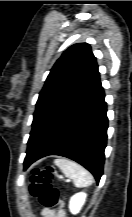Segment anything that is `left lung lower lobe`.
<instances>
[{
  "mask_svg": "<svg viewBox=\"0 0 132 217\" xmlns=\"http://www.w3.org/2000/svg\"><path fill=\"white\" fill-rule=\"evenodd\" d=\"M99 74L55 119L24 161L27 169L48 155L70 158L88 169L99 182L103 173L108 119Z\"/></svg>",
  "mask_w": 132,
  "mask_h": 217,
  "instance_id": "1",
  "label": "left lung lower lobe"
}]
</instances>
